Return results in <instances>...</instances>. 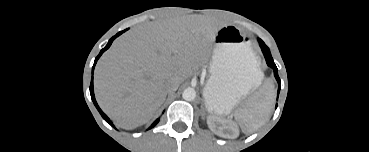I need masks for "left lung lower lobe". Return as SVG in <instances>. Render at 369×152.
Listing matches in <instances>:
<instances>
[{
    "mask_svg": "<svg viewBox=\"0 0 369 152\" xmlns=\"http://www.w3.org/2000/svg\"><path fill=\"white\" fill-rule=\"evenodd\" d=\"M258 42H259V45L262 49V52L265 56V59H266V62L268 64V66H270L271 68H273L274 70V75H275V78L277 79L278 81V84H279V87H278V94H279V91H280V79H279V76H278V72H277V67L272 59V56H271V53L269 51V48L265 45V43L261 40V39H258Z\"/></svg>",
    "mask_w": 369,
    "mask_h": 152,
    "instance_id": "0a47b994",
    "label": "left lung lower lobe"
}]
</instances>
